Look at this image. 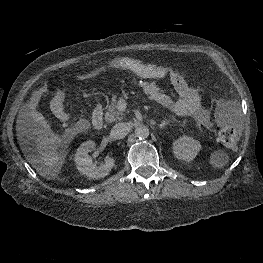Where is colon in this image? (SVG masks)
Here are the masks:
<instances>
[{"label":"colon","mask_w":263,"mask_h":263,"mask_svg":"<svg viewBox=\"0 0 263 263\" xmlns=\"http://www.w3.org/2000/svg\"><path fill=\"white\" fill-rule=\"evenodd\" d=\"M109 67L125 69L131 71L139 76L147 77V78H164L168 77L171 73L177 72L175 69H172L167 66L162 65H154L144 63L140 60L129 58V57H116L109 61ZM100 69L93 70L89 73L83 74L80 76L81 79L88 78L94 74H96ZM61 90H57L54 94V108L55 114L58 118L66 122L68 120L67 114L63 109L60 108L59 99L61 95ZM218 137L220 142L226 146L227 148L233 149L236 147L238 141V132L237 130L231 126L226 120H220L218 126Z\"/></svg>","instance_id":"1"}]
</instances>
